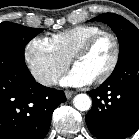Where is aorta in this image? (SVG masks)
Segmentation results:
<instances>
[{
  "label": "aorta",
  "instance_id": "1",
  "mask_svg": "<svg viewBox=\"0 0 139 139\" xmlns=\"http://www.w3.org/2000/svg\"><path fill=\"white\" fill-rule=\"evenodd\" d=\"M73 104L79 111H87L91 108V99L87 94H78L73 100Z\"/></svg>",
  "mask_w": 139,
  "mask_h": 139
}]
</instances>
